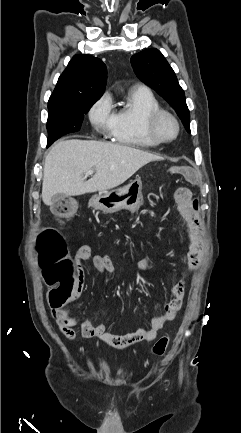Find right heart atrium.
Masks as SVG:
<instances>
[{
    "mask_svg": "<svg viewBox=\"0 0 241 433\" xmlns=\"http://www.w3.org/2000/svg\"><path fill=\"white\" fill-rule=\"evenodd\" d=\"M89 120L96 129L102 132L111 130L114 113L109 96H103L92 106L89 111Z\"/></svg>",
    "mask_w": 241,
    "mask_h": 433,
    "instance_id": "obj_1",
    "label": "right heart atrium"
}]
</instances>
